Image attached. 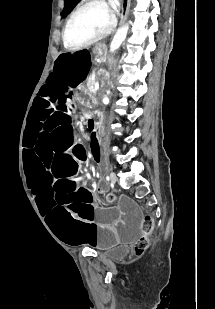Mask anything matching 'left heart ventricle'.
Returning a JSON list of instances; mask_svg holds the SVG:
<instances>
[{"mask_svg":"<svg viewBox=\"0 0 215 309\" xmlns=\"http://www.w3.org/2000/svg\"><path fill=\"white\" fill-rule=\"evenodd\" d=\"M104 12L105 10L99 7H92L79 13L69 27L68 43L76 46V41H89V34H94L95 29H104L108 23Z\"/></svg>","mask_w":215,"mask_h":309,"instance_id":"1","label":"left heart ventricle"}]
</instances>
